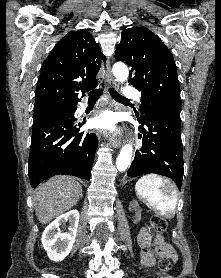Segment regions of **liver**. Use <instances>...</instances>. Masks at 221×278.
I'll use <instances>...</instances> for the list:
<instances>
[{"label":"liver","mask_w":221,"mask_h":278,"mask_svg":"<svg viewBox=\"0 0 221 278\" xmlns=\"http://www.w3.org/2000/svg\"><path fill=\"white\" fill-rule=\"evenodd\" d=\"M82 187L73 177L56 176L41 184L34 191L33 204L41 224L62 215L77 204Z\"/></svg>","instance_id":"obj_1"}]
</instances>
